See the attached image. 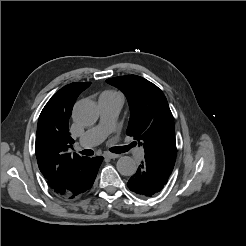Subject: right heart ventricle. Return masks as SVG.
Segmentation results:
<instances>
[{
    "label": "right heart ventricle",
    "instance_id": "obj_1",
    "mask_svg": "<svg viewBox=\"0 0 246 246\" xmlns=\"http://www.w3.org/2000/svg\"><path fill=\"white\" fill-rule=\"evenodd\" d=\"M104 93H106V94L118 95V93H117V92H114V91H106V92H104Z\"/></svg>",
    "mask_w": 246,
    "mask_h": 246
}]
</instances>
